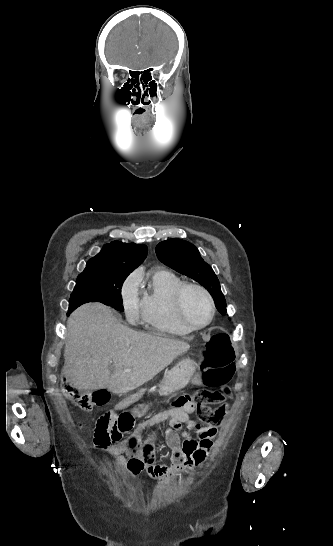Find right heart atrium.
<instances>
[{"label": "right heart atrium", "mask_w": 333, "mask_h": 546, "mask_svg": "<svg viewBox=\"0 0 333 546\" xmlns=\"http://www.w3.org/2000/svg\"><path fill=\"white\" fill-rule=\"evenodd\" d=\"M139 275L132 273L121 289L122 306L128 321L134 322L141 315V300L138 292Z\"/></svg>", "instance_id": "d8ad5b80"}]
</instances>
